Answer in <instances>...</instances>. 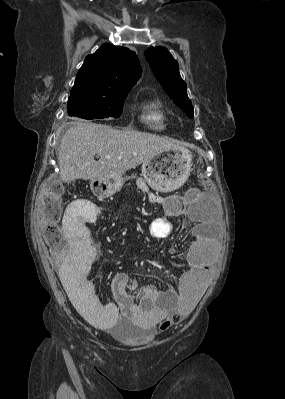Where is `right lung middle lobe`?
<instances>
[{
    "label": "right lung middle lobe",
    "mask_w": 285,
    "mask_h": 399,
    "mask_svg": "<svg viewBox=\"0 0 285 399\" xmlns=\"http://www.w3.org/2000/svg\"><path fill=\"white\" fill-rule=\"evenodd\" d=\"M128 92L117 93L111 96H70L67 111L70 116L83 119L119 118L123 111V102Z\"/></svg>",
    "instance_id": "dd1d6c3e"
}]
</instances>
